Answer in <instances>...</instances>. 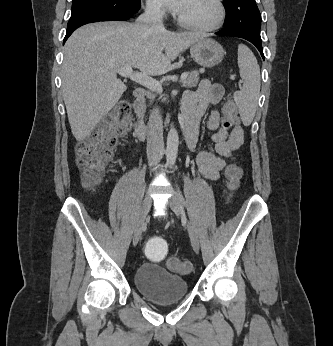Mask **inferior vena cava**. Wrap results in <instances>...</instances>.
Segmentation results:
<instances>
[{
  "instance_id": "inferior-vena-cava-1",
  "label": "inferior vena cava",
  "mask_w": 333,
  "mask_h": 346,
  "mask_svg": "<svg viewBox=\"0 0 333 346\" xmlns=\"http://www.w3.org/2000/svg\"><path fill=\"white\" fill-rule=\"evenodd\" d=\"M164 11L160 5L147 6L145 12L137 19V23L146 25L152 30H163ZM163 125L159 109H153L147 125V158L149 167L155 170L163 157Z\"/></svg>"
}]
</instances>
